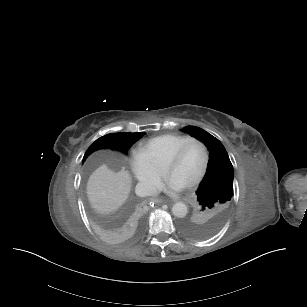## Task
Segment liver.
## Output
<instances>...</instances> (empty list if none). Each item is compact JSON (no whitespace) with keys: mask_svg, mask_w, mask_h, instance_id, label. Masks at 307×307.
Returning <instances> with one entry per match:
<instances>
[{"mask_svg":"<svg viewBox=\"0 0 307 307\" xmlns=\"http://www.w3.org/2000/svg\"><path fill=\"white\" fill-rule=\"evenodd\" d=\"M130 182L124 167L118 171L107 164L97 168L87 185V194L93 208L102 213L117 209L128 197Z\"/></svg>","mask_w":307,"mask_h":307,"instance_id":"obj_1","label":"liver"}]
</instances>
